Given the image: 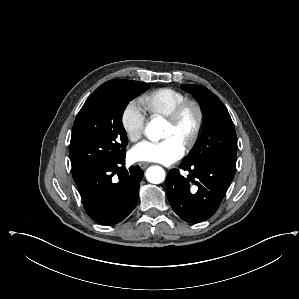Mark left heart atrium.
Returning <instances> with one entry per match:
<instances>
[{"label": "left heart atrium", "mask_w": 299, "mask_h": 299, "mask_svg": "<svg viewBox=\"0 0 299 299\" xmlns=\"http://www.w3.org/2000/svg\"><path fill=\"white\" fill-rule=\"evenodd\" d=\"M184 152V145L175 137H170L158 142L143 140L131 148L129 157L135 162L171 164L179 160Z\"/></svg>", "instance_id": "39dd6f15"}]
</instances>
